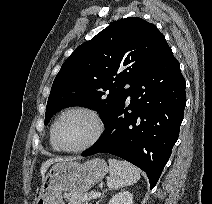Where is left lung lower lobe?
I'll return each instance as SVG.
<instances>
[{
  "label": "left lung lower lobe",
  "instance_id": "left-lung-lower-lobe-1",
  "mask_svg": "<svg viewBox=\"0 0 212 204\" xmlns=\"http://www.w3.org/2000/svg\"><path fill=\"white\" fill-rule=\"evenodd\" d=\"M129 95V106L126 98L112 111L103 121L104 134L82 156L103 152L121 157L145 171L153 188L178 139L186 105L185 80L171 48Z\"/></svg>",
  "mask_w": 212,
  "mask_h": 204
}]
</instances>
